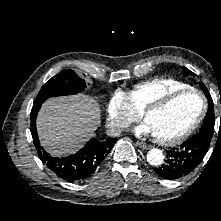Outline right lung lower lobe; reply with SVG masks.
<instances>
[{
  "label": "right lung lower lobe",
  "mask_w": 221,
  "mask_h": 221,
  "mask_svg": "<svg viewBox=\"0 0 221 221\" xmlns=\"http://www.w3.org/2000/svg\"><path fill=\"white\" fill-rule=\"evenodd\" d=\"M44 101L43 99L35 100L30 114L31 134L40 160L55 175L67 182L80 181L90 177L111 151L116 138H109L101 142L90 141L76 154L68 157L56 158L50 156L40 146L36 131V117Z\"/></svg>",
  "instance_id": "obj_1"
}]
</instances>
